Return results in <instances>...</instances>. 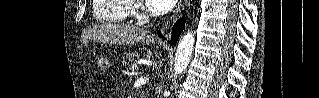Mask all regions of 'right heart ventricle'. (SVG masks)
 <instances>
[{"instance_id": "right-heart-ventricle-1", "label": "right heart ventricle", "mask_w": 319, "mask_h": 98, "mask_svg": "<svg viewBox=\"0 0 319 98\" xmlns=\"http://www.w3.org/2000/svg\"><path fill=\"white\" fill-rule=\"evenodd\" d=\"M93 14L101 23L123 22L132 14V5L126 0H95Z\"/></svg>"}]
</instances>
